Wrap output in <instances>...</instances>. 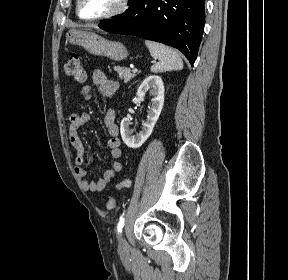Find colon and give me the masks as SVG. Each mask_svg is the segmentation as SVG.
I'll use <instances>...</instances> for the list:
<instances>
[{"label":"colon","instance_id":"1","mask_svg":"<svg viewBox=\"0 0 288 280\" xmlns=\"http://www.w3.org/2000/svg\"><path fill=\"white\" fill-rule=\"evenodd\" d=\"M65 73L75 82H84L86 80V73L82 66L80 57L77 54H72L65 65ZM131 185L129 178L123 179L116 185V189L128 188ZM116 206V201L112 196H108L106 200L107 209H113Z\"/></svg>","mask_w":288,"mask_h":280}]
</instances>
